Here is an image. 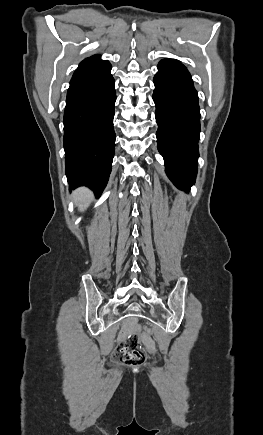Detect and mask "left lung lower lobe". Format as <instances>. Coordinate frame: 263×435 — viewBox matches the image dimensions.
I'll list each match as a JSON object with an SVG mask.
<instances>
[{"label": "left lung lower lobe", "mask_w": 263, "mask_h": 435, "mask_svg": "<svg viewBox=\"0 0 263 435\" xmlns=\"http://www.w3.org/2000/svg\"><path fill=\"white\" fill-rule=\"evenodd\" d=\"M158 150L176 187L188 191L195 183L199 156L200 109L197 91L186 67L163 59L154 76Z\"/></svg>", "instance_id": "1"}]
</instances>
